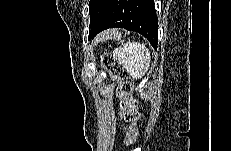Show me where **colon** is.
<instances>
[{
  "label": "colon",
  "instance_id": "5ec220e1",
  "mask_svg": "<svg viewBox=\"0 0 231 151\" xmlns=\"http://www.w3.org/2000/svg\"><path fill=\"white\" fill-rule=\"evenodd\" d=\"M102 64L112 76L120 80L118 95L122 98V104L125 109V118L133 127L131 132L128 133L125 138V144H132L138 135L135 126L140 118V114L136 110V102L131 98L133 84L125 79L124 72L120 65L111 56H104L102 58Z\"/></svg>",
  "mask_w": 231,
  "mask_h": 151
}]
</instances>
